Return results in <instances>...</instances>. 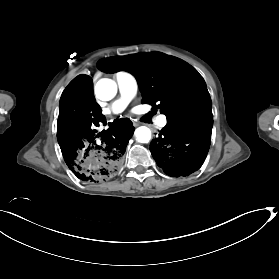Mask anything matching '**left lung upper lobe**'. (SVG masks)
I'll use <instances>...</instances> for the list:
<instances>
[{
    "label": "left lung upper lobe",
    "mask_w": 279,
    "mask_h": 279,
    "mask_svg": "<svg viewBox=\"0 0 279 279\" xmlns=\"http://www.w3.org/2000/svg\"><path fill=\"white\" fill-rule=\"evenodd\" d=\"M98 69L121 70L137 79L142 102L167 117V124L213 121L212 103L203 78L183 60L160 52L104 58Z\"/></svg>",
    "instance_id": "1"
}]
</instances>
